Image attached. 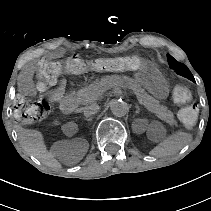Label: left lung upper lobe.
<instances>
[{"label":"left lung upper lobe","mask_w":211,"mask_h":211,"mask_svg":"<svg viewBox=\"0 0 211 211\" xmlns=\"http://www.w3.org/2000/svg\"><path fill=\"white\" fill-rule=\"evenodd\" d=\"M168 63L171 69L175 70L177 74L191 80L195 81L192 73L188 67L178 61H176L171 55L167 54Z\"/></svg>","instance_id":"1"}]
</instances>
